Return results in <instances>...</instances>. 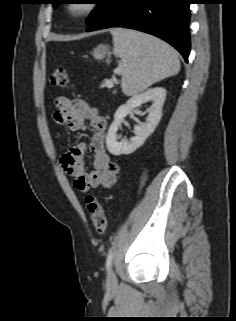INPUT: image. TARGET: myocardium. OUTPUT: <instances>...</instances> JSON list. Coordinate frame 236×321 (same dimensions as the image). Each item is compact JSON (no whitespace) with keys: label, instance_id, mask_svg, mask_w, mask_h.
<instances>
[{"label":"myocardium","instance_id":"myocardium-1","mask_svg":"<svg viewBox=\"0 0 236 321\" xmlns=\"http://www.w3.org/2000/svg\"><path fill=\"white\" fill-rule=\"evenodd\" d=\"M98 9V4L93 1H73L64 6V13L71 19H86Z\"/></svg>","mask_w":236,"mask_h":321}]
</instances>
